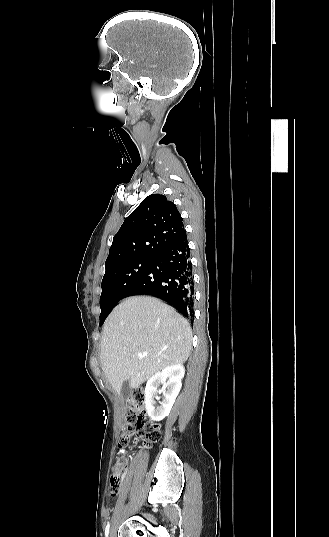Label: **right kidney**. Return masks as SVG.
I'll use <instances>...</instances> for the list:
<instances>
[{
	"mask_svg": "<svg viewBox=\"0 0 329 537\" xmlns=\"http://www.w3.org/2000/svg\"><path fill=\"white\" fill-rule=\"evenodd\" d=\"M185 369L182 364L170 365L161 372L152 375L145 387V406L147 414L154 421H161L169 415L175 399L181 389V380ZM162 384L159 393H163V400L159 407H155L154 396Z\"/></svg>",
	"mask_w": 329,
	"mask_h": 537,
	"instance_id": "ca27d5eb",
	"label": "right kidney"
}]
</instances>
